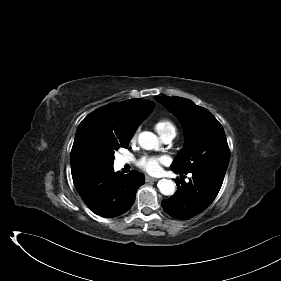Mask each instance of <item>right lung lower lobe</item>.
<instances>
[{"instance_id":"obj_1","label":"right lung lower lobe","mask_w":281,"mask_h":281,"mask_svg":"<svg viewBox=\"0 0 281 281\" xmlns=\"http://www.w3.org/2000/svg\"><path fill=\"white\" fill-rule=\"evenodd\" d=\"M144 183L145 177L138 171L119 176L112 166L84 178L75 187L92 212L103 217H115L133 205L136 190Z\"/></svg>"}]
</instances>
